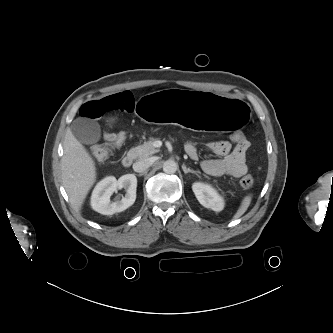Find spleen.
<instances>
[{"label":"spleen","instance_id":"obj_1","mask_svg":"<svg viewBox=\"0 0 333 333\" xmlns=\"http://www.w3.org/2000/svg\"><path fill=\"white\" fill-rule=\"evenodd\" d=\"M251 200H252V195H247L243 198L239 209L237 210L236 214L233 217L234 219L240 218L246 212L251 203Z\"/></svg>","mask_w":333,"mask_h":333}]
</instances>
